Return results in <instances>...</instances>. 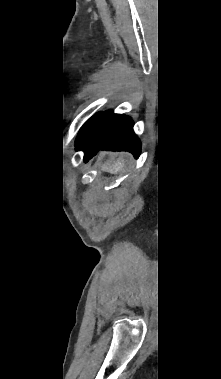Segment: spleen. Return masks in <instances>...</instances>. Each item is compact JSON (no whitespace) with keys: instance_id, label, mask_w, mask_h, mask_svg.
I'll return each instance as SVG.
<instances>
[{"instance_id":"3e777b00","label":"spleen","mask_w":221,"mask_h":379,"mask_svg":"<svg viewBox=\"0 0 221 379\" xmlns=\"http://www.w3.org/2000/svg\"><path fill=\"white\" fill-rule=\"evenodd\" d=\"M101 168L111 174H121L125 170V161L121 155H118L117 158L113 155L108 162L102 165Z\"/></svg>"}]
</instances>
